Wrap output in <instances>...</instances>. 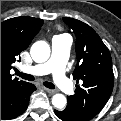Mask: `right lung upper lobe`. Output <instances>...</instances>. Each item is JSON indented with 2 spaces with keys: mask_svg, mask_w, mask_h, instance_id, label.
I'll list each match as a JSON object with an SVG mask.
<instances>
[{
  "mask_svg": "<svg viewBox=\"0 0 121 121\" xmlns=\"http://www.w3.org/2000/svg\"><path fill=\"white\" fill-rule=\"evenodd\" d=\"M42 25V19L26 16L11 18L1 23V98L10 90L27 83L13 79L10 70L20 52L29 46Z\"/></svg>",
  "mask_w": 121,
  "mask_h": 121,
  "instance_id": "cb5924a9",
  "label": "right lung upper lobe"
}]
</instances>
